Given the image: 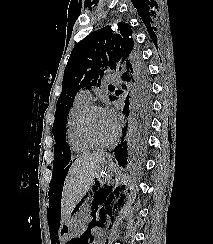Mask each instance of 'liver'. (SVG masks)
Returning a JSON list of instances; mask_svg holds the SVG:
<instances>
[{"mask_svg": "<svg viewBox=\"0 0 213 244\" xmlns=\"http://www.w3.org/2000/svg\"><path fill=\"white\" fill-rule=\"evenodd\" d=\"M107 156V153L104 152L83 154L72 163L62 191V221L71 214L76 204L89 191L94 183L100 164Z\"/></svg>", "mask_w": 213, "mask_h": 244, "instance_id": "liver-1", "label": "liver"}]
</instances>
